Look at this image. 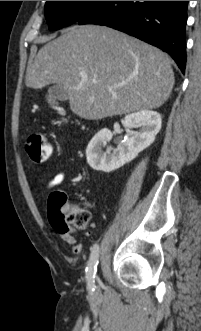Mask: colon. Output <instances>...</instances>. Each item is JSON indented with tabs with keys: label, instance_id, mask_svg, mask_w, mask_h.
<instances>
[{
	"label": "colon",
	"instance_id": "5ec220e1",
	"mask_svg": "<svg viewBox=\"0 0 201 331\" xmlns=\"http://www.w3.org/2000/svg\"><path fill=\"white\" fill-rule=\"evenodd\" d=\"M25 149L35 163L47 161L52 153L50 140L40 133L30 134L25 141ZM66 195L61 191H55L50 195L49 208L54 215L67 226L70 224L76 228H84L90 221V212L86 207H69L65 204Z\"/></svg>",
	"mask_w": 201,
	"mask_h": 331
}]
</instances>
